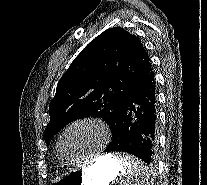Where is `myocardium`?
Wrapping results in <instances>:
<instances>
[{
    "instance_id": "obj_1",
    "label": "myocardium",
    "mask_w": 207,
    "mask_h": 185,
    "mask_svg": "<svg viewBox=\"0 0 207 185\" xmlns=\"http://www.w3.org/2000/svg\"><path fill=\"white\" fill-rule=\"evenodd\" d=\"M82 123L95 124L96 126H98L101 129L102 133L104 134V136L106 138L111 136V130H110L109 126L100 118H97V117H83V118H79V119L74 120L73 122H71L70 124H68L64 128V130L62 131V133L59 137L58 144H57L58 154L67 163L80 164V163H82V162H84L88 159H93V158H96V157L100 156V150L97 151V152L91 153V154H89V155H87L83 158H80V159H71L64 153L62 144H63V139H64L65 135L67 134V132L71 128L75 127L78 124H82Z\"/></svg>"
}]
</instances>
